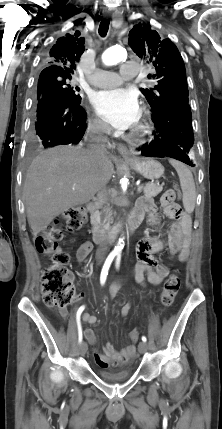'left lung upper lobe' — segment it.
Listing matches in <instances>:
<instances>
[{"mask_svg": "<svg viewBox=\"0 0 222 429\" xmlns=\"http://www.w3.org/2000/svg\"><path fill=\"white\" fill-rule=\"evenodd\" d=\"M128 44L137 56L154 66L148 75L157 81L154 88H140L153 115L162 113L173 103H188L189 92L183 59L170 39H163L150 24H138L129 32Z\"/></svg>", "mask_w": 222, "mask_h": 429, "instance_id": "5c2ea615", "label": "left lung upper lobe"}]
</instances>
